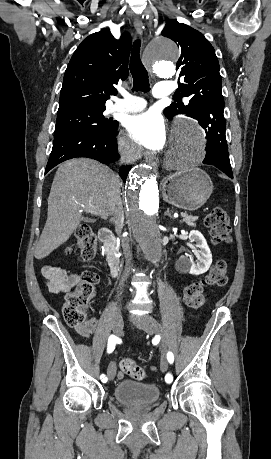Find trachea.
Masks as SVG:
<instances>
[{
	"label": "trachea",
	"instance_id": "trachea-1",
	"mask_svg": "<svg viewBox=\"0 0 271 459\" xmlns=\"http://www.w3.org/2000/svg\"><path fill=\"white\" fill-rule=\"evenodd\" d=\"M130 72L133 77V91L149 92V77L148 72L142 64L140 58V39H137L131 51Z\"/></svg>",
	"mask_w": 271,
	"mask_h": 459
}]
</instances>
